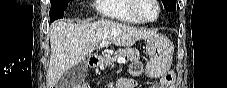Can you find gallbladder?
Listing matches in <instances>:
<instances>
[{"instance_id": "obj_1", "label": "gallbladder", "mask_w": 227, "mask_h": 88, "mask_svg": "<svg viewBox=\"0 0 227 88\" xmlns=\"http://www.w3.org/2000/svg\"><path fill=\"white\" fill-rule=\"evenodd\" d=\"M87 74V65L81 61L66 71L57 83V88H74L79 85Z\"/></svg>"}]
</instances>
